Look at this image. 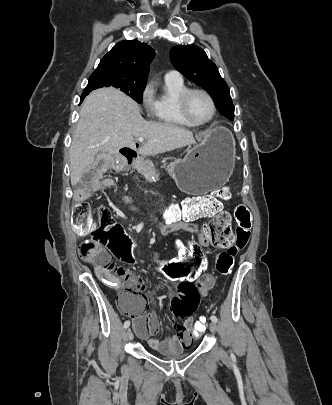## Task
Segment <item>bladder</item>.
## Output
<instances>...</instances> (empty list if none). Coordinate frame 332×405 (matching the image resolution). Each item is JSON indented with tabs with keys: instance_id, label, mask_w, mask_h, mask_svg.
I'll return each mask as SVG.
<instances>
[{
	"instance_id": "bladder-1",
	"label": "bladder",
	"mask_w": 332,
	"mask_h": 405,
	"mask_svg": "<svg viewBox=\"0 0 332 405\" xmlns=\"http://www.w3.org/2000/svg\"><path fill=\"white\" fill-rule=\"evenodd\" d=\"M157 353L168 359L180 358L185 355V353L181 349H173V350L164 349L157 351Z\"/></svg>"
}]
</instances>
